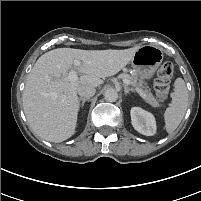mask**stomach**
<instances>
[{
  "instance_id": "1",
  "label": "stomach",
  "mask_w": 201,
  "mask_h": 201,
  "mask_svg": "<svg viewBox=\"0 0 201 201\" xmlns=\"http://www.w3.org/2000/svg\"><path fill=\"white\" fill-rule=\"evenodd\" d=\"M163 61L160 49L151 46L140 47L130 60L134 75L140 80L151 79Z\"/></svg>"
}]
</instances>
